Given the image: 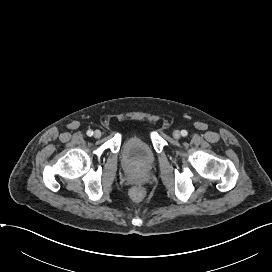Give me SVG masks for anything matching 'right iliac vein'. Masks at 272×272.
Segmentation results:
<instances>
[{
	"label": "right iliac vein",
	"instance_id": "obj_1",
	"mask_svg": "<svg viewBox=\"0 0 272 272\" xmlns=\"http://www.w3.org/2000/svg\"><path fill=\"white\" fill-rule=\"evenodd\" d=\"M94 137H95V138H100V137H101V131L96 130V131L94 132Z\"/></svg>",
	"mask_w": 272,
	"mask_h": 272
}]
</instances>
